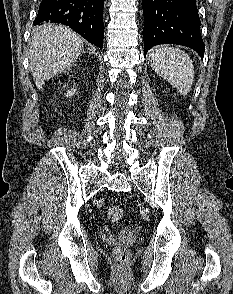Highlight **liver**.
Masks as SVG:
<instances>
[{"label": "liver", "mask_w": 233, "mask_h": 294, "mask_svg": "<svg viewBox=\"0 0 233 294\" xmlns=\"http://www.w3.org/2000/svg\"><path fill=\"white\" fill-rule=\"evenodd\" d=\"M83 40L68 27L44 24L30 41V70L38 89L51 76L70 67L83 50Z\"/></svg>", "instance_id": "obj_1"}]
</instances>
